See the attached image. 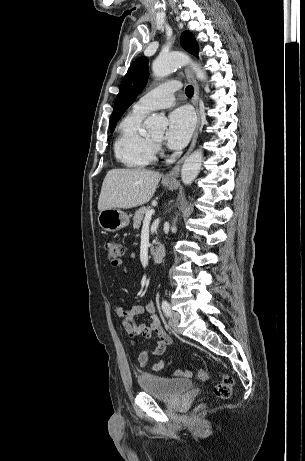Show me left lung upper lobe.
Returning <instances> with one entry per match:
<instances>
[{
    "label": "left lung upper lobe",
    "mask_w": 305,
    "mask_h": 461,
    "mask_svg": "<svg viewBox=\"0 0 305 461\" xmlns=\"http://www.w3.org/2000/svg\"><path fill=\"white\" fill-rule=\"evenodd\" d=\"M181 45L189 53L193 55L198 54L197 42L189 31L183 32L181 36ZM148 73V59L146 57L137 58L128 69V72L122 80L120 91L116 97L113 113L111 114V132L115 129V126L122 114L136 99L138 93L144 89L147 83Z\"/></svg>",
    "instance_id": "1"
}]
</instances>
